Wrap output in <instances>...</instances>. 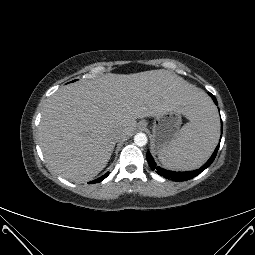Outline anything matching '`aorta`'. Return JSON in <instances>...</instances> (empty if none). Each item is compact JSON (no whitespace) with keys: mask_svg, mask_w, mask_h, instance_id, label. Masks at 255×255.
<instances>
[{"mask_svg":"<svg viewBox=\"0 0 255 255\" xmlns=\"http://www.w3.org/2000/svg\"><path fill=\"white\" fill-rule=\"evenodd\" d=\"M147 136L146 134L144 133H137L135 136H134V143L137 145V146H145L147 144Z\"/></svg>","mask_w":255,"mask_h":255,"instance_id":"obj_1","label":"aorta"}]
</instances>
